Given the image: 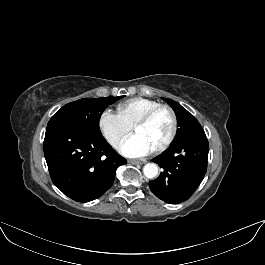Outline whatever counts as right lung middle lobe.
Masks as SVG:
<instances>
[{"label": "right lung middle lobe", "mask_w": 265, "mask_h": 265, "mask_svg": "<svg viewBox=\"0 0 265 265\" xmlns=\"http://www.w3.org/2000/svg\"><path fill=\"white\" fill-rule=\"evenodd\" d=\"M121 98L122 96L80 99L68 103L52 116L47 127L53 125H71L92 133L101 134L99 129L101 114L108 105Z\"/></svg>", "instance_id": "dd1d6c3e"}]
</instances>
